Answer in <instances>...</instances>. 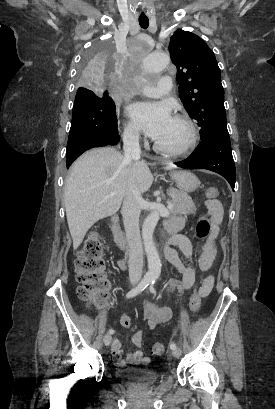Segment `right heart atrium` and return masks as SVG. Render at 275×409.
Returning <instances> with one entry per match:
<instances>
[{
    "mask_svg": "<svg viewBox=\"0 0 275 409\" xmlns=\"http://www.w3.org/2000/svg\"><path fill=\"white\" fill-rule=\"evenodd\" d=\"M123 139L129 144H136L141 140V127L137 121L127 118L123 124Z\"/></svg>",
    "mask_w": 275,
    "mask_h": 409,
    "instance_id": "obj_1",
    "label": "right heart atrium"
}]
</instances>
